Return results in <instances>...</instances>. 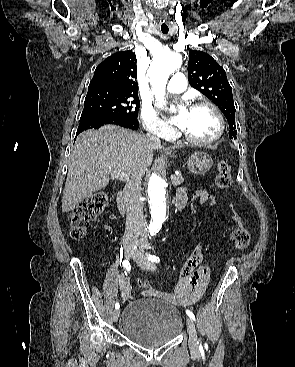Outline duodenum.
I'll return each instance as SVG.
<instances>
[{"label":"duodenum","instance_id":"410a0bca","mask_svg":"<svg viewBox=\"0 0 295 367\" xmlns=\"http://www.w3.org/2000/svg\"><path fill=\"white\" fill-rule=\"evenodd\" d=\"M117 205H118V209L122 214H125L128 210V203H127V199H126V195L123 191H119L118 192V196H117ZM184 207V203L182 202H176V209L180 210Z\"/></svg>","mask_w":295,"mask_h":367}]
</instances>
